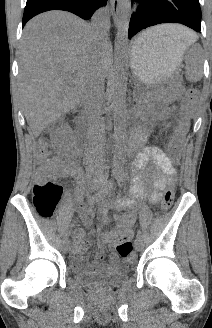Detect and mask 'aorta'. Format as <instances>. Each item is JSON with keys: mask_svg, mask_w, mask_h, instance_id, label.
Segmentation results:
<instances>
[{"mask_svg": "<svg viewBox=\"0 0 212 328\" xmlns=\"http://www.w3.org/2000/svg\"><path fill=\"white\" fill-rule=\"evenodd\" d=\"M130 5L124 2L121 8V20L115 38L114 72L112 78V110L114 120V138L117 151L114 154V166L112 167V179L119 180L124 176V169L121 167L122 154L121 145L125 142L126 129V90L128 71V16Z\"/></svg>", "mask_w": 212, "mask_h": 328, "instance_id": "aorta-1", "label": "aorta"}]
</instances>
